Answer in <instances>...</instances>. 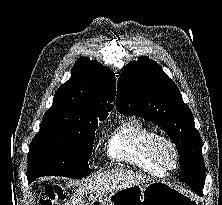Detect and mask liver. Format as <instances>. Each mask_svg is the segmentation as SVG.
Listing matches in <instances>:
<instances>
[{
  "label": "liver",
  "mask_w": 222,
  "mask_h": 205,
  "mask_svg": "<svg viewBox=\"0 0 222 205\" xmlns=\"http://www.w3.org/2000/svg\"><path fill=\"white\" fill-rule=\"evenodd\" d=\"M146 176L134 173L130 170L114 169L97 174L87 179L80 186L65 205H86L83 196L90 194L89 200H95L108 196L109 194L133 185H140L150 182Z\"/></svg>",
  "instance_id": "6515ba94"
}]
</instances>
